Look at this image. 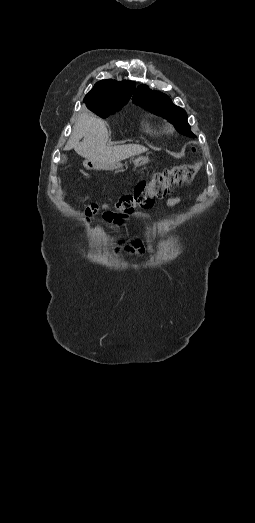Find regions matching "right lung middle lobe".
Segmentation results:
<instances>
[{"label": "right lung middle lobe", "mask_w": 255, "mask_h": 523, "mask_svg": "<svg viewBox=\"0 0 255 523\" xmlns=\"http://www.w3.org/2000/svg\"><path fill=\"white\" fill-rule=\"evenodd\" d=\"M127 103L126 102H118V103H104V104H95L88 106L87 108L94 112L96 115L106 118L110 114H114L115 112L122 109V107Z\"/></svg>", "instance_id": "right-lung-middle-lobe-1"}]
</instances>
